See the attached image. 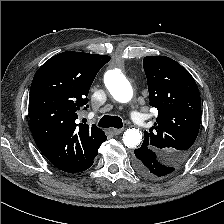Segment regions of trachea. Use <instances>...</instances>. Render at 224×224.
Listing matches in <instances>:
<instances>
[{
    "label": "trachea",
    "mask_w": 224,
    "mask_h": 224,
    "mask_svg": "<svg viewBox=\"0 0 224 224\" xmlns=\"http://www.w3.org/2000/svg\"><path fill=\"white\" fill-rule=\"evenodd\" d=\"M98 126L102 128L114 127L120 129L123 127L122 119L118 116H103L98 122Z\"/></svg>",
    "instance_id": "1"
}]
</instances>
